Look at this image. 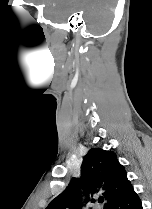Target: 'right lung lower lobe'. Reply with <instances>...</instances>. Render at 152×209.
Masks as SVG:
<instances>
[{
  "label": "right lung lower lobe",
  "instance_id": "98d812e1",
  "mask_svg": "<svg viewBox=\"0 0 152 209\" xmlns=\"http://www.w3.org/2000/svg\"><path fill=\"white\" fill-rule=\"evenodd\" d=\"M109 209H143L141 200L131 186Z\"/></svg>",
  "mask_w": 152,
  "mask_h": 209
}]
</instances>
